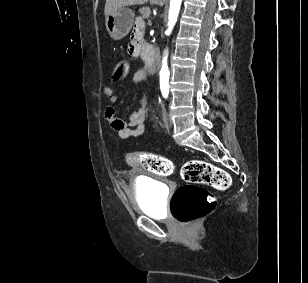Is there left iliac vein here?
<instances>
[{
    "label": "left iliac vein",
    "mask_w": 308,
    "mask_h": 283,
    "mask_svg": "<svg viewBox=\"0 0 308 283\" xmlns=\"http://www.w3.org/2000/svg\"><path fill=\"white\" fill-rule=\"evenodd\" d=\"M165 124H166V126H169V125H170V122H169L167 116H165Z\"/></svg>",
    "instance_id": "4c4485c4"
}]
</instances>
